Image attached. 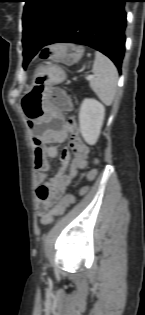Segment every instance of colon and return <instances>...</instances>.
<instances>
[{
	"instance_id": "1",
	"label": "colon",
	"mask_w": 145,
	"mask_h": 315,
	"mask_svg": "<svg viewBox=\"0 0 145 315\" xmlns=\"http://www.w3.org/2000/svg\"><path fill=\"white\" fill-rule=\"evenodd\" d=\"M41 58L70 63L81 56L79 47L71 44L55 45L41 51ZM53 103L63 109L68 110L72 106L70 95L63 89H54L51 95ZM74 201L73 196L68 195L58 202L46 215V223H52L55 219L64 214L67 207Z\"/></svg>"
}]
</instances>
